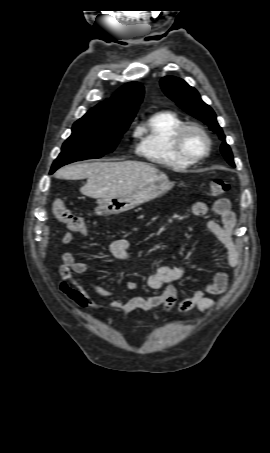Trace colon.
Listing matches in <instances>:
<instances>
[{"label": "colon", "mask_w": 270, "mask_h": 453, "mask_svg": "<svg viewBox=\"0 0 270 453\" xmlns=\"http://www.w3.org/2000/svg\"><path fill=\"white\" fill-rule=\"evenodd\" d=\"M230 185L222 180H215L210 183L209 193L212 196H221L228 192ZM55 217L65 224L73 232L83 235L88 233V226L85 219L72 212L62 199H55L52 204Z\"/></svg>", "instance_id": "5ec220e1"}]
</instances>
